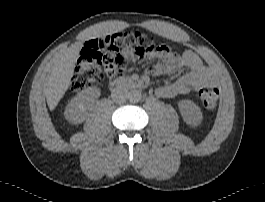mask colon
Wrapping results in <instances>:
<instances>
[{
    "label": "colon",
    "mask_w": 265,
    "mask_h": 202,
    "mask_svg": "<svg viewBox=\"0 0 265 202\" xmlns=\"http://www.w3.org/2000/svg\"><path fill=\"white\" fill-rule=\"evenodd\" d=\"M167 51L147 34L141 32H118L102 37L95 51L79 59L74 68L71 90L81 92L108 77L121 76L125 73L127 53L135 61L157 58ZM203 106L213 110L219 99V89L208 86L199 92Z\"/></svg>",
    "instance_id": "5ec220e1"
}]
</instances>
